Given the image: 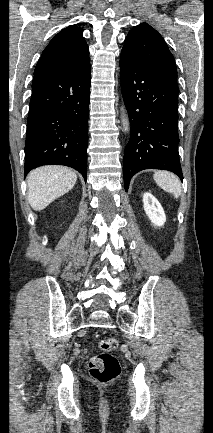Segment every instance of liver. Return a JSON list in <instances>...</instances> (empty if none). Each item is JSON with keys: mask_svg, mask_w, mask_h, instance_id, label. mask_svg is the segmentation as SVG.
Here are the masks:
<instances>
[{"mask_svg": "<svg viewBox=\"0 0 213 433\" xmlns=\"http://www.w3.org/2000/svg\"><path fill=\"white\" fill-rule=\"evenodd\" d=\"M76 180L75 171L64 166L49 165L32 170L27 176L30 206L36 211L43 210L69 192Z\"/></svg>", "mask_w": 213, "mask_h": 433, "instance_id": "liver-1", "label": "liver"}]
</instances>
